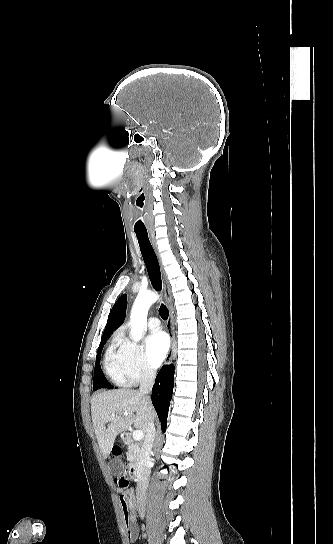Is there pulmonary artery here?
Returning <instances> with one entry per match:
<instances>
[{
    "instance_id": "1",
    "label": "pulmonary artery",
    "mask_w": 333,
    "mask_h": 544,
    "mask_svg": "<svg viewBox=\"0 0 333 544\" xmlns=\"http://www.w3.org/2000/svg\"><path fill=\"white\" fill-rule=\"evenodd\" d=\"M148 327L151 331L157 332L160 330V321L156 317H150L148 320Z\"/></svg>"
}]
</instances>
